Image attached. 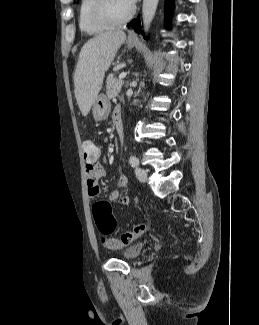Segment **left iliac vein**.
<instances>
[{
  "mask_svg": "<svg viewBox=\"0 0 259 325\" xmlns=\"http://www.w3.org/2000/svg\"><path fill=\"white\" fill-rule=\"evenodd\" d=\"M135 174L140 182H145L147 180V172L145 169L136 167Z\"/></svg>",
  "mask_w": 259,
  "mask_h": 325,
  "instance_id": "left-iliac-vein-1",
  "label": "left iliac vein"
}]
</instances>
